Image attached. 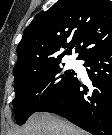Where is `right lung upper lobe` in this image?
Returning a JSON list of instances; mask_svg holds the SVG:
<instances>
[{
    "label": "right lung upper lobe",
    "instance_id": "cb5924a9",
    "mask_svg": "<svg viewBox=\"0 0 112 135\" xmlns=\"http://www.w3.org/2000/svg\"><path fill=\"white\" fill-rule=\"evenodd\" d=\"M112 46L110 0H58L35 16L17 47L14 77L34 73L49 63L61 61L75 47L81 60ZM65 48L62 54L57 52Z\"/></svg>",
    "mask_w": 112,
    "mask_h": 135
}]
</instances>
